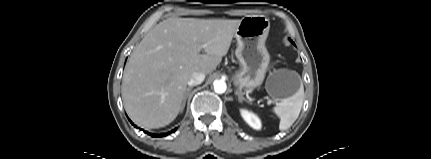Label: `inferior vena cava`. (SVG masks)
I'll return each instance as SVG.
<instances>
[{
    "label": "inferior vena cava",
    "instance_id": "602c4592",
    "mask_svg": "<svg viewBox=\"0 0 431 159\" xmlns=\"http://www.w3.org/2000/svg\"><path fill=\"white\" fill-rule=\"evenodd\" d=\"M205 79V74L202 72H193L188 80L189 86H196L201 84Z\"/></svg>",
    "mask_w": 431,
    "mask_h": 159
}]
</instances>
